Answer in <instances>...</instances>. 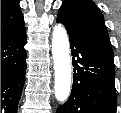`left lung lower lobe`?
<instances>
[{"label":"left lung lower lobe","instance_id":"left-lung-lower-lobe-1","mask_svg":"<svg viewBox=\"0 0 121 113\" xmlns=\"http://www.w3.org/2000/svg\"><path fill=\"white\" fill-rule=\"evenodd\" d=\"M57 22L62 23L58 18ZM67 32L73 55V86L68 101L56 113H116L113 60L69 29Z\"/></svg>","mask_w":121,"mask_h":113}]
</instances>
